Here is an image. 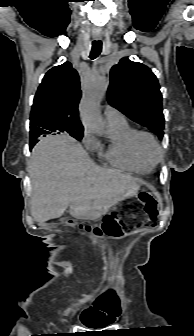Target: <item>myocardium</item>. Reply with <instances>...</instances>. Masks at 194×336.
<instances>
[{
	"label": "myocardium",
	"mask_w": 194,
	"mask_h": 336,
	"mask_svg": "<svg viewBox=\"0 0 194 336\" xmlns=\"http://www.w3.org/2000/svg\"><path fill=\"white\" fill-rule=\"evenodd\" d=\"M142 138H147L149 139L154 147H155V151H156V158L154 160H147L140 149V141ZM131 147L132 150L134 152V155L136 156V158L142 162L143 164L153 168L155 167L157 164H159L162 159H163V149L157 139V137L150 131H146V130H134L132 136H131Z\"/></svg>",
	"instance_id": "1"
}]
</instances>
